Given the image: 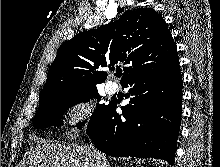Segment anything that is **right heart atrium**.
I'll return each instance as SVG.
<instances>
[{
    "label": "right heart atrium",
    "mask_w": 220,
    "mask_h": 167,
    "mask_svg": "<svg viewBox=\"0 0 220 167\" xmlns=\"http://www.w3.org/2000/svg\"><path fill=\"white\" fill-rule=\"evenodd\" d=\"M89 120V105L85 99L74 100L65 116V129L68 135L75 134Z\"/></svg>",
    "instance_id": "obj_1"
}]
</instances>
